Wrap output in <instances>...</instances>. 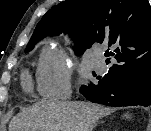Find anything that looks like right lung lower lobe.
<instances>
[{"mask_svg": "<svg viewBox=\"0 0 151 131\" xmlns=\"http://www.w3.org/2000/svg\"><path fill=\"white\" fill-rule=\"evenodd\" d=\"M98 79L80 88L91 102L115 107L151 104V68L137 72L109 71Z\"/></svg>", "mask_w": 151, "mask_h": 131, "instance_id": "right-lung-lower-lobe-1", "label": "right lung lower lobe"}]
</instances>
